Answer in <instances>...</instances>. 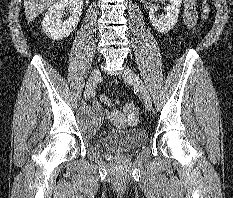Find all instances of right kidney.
Returning <instances> with one entry per match:
<instances>
[{
	"label": "right kidney",
	"mask_w": 233,
	"mask_h": 198,
	"mask_svg": "<svg viewBox=\"0 0 233 198\" xmlns=\"http://www.w3.org/2000/svg\"><path fill=\"white\" fill-rule=\"evenodd\" d=\"M66 8L71 11L70 17L62 22L61 18ZM83 0H60L45 13L41 27L42 31L53 40H62L76 28L82 14Z\"/></svg>",
	"instance_id": "ca27d5eb"
}]
</instances>
